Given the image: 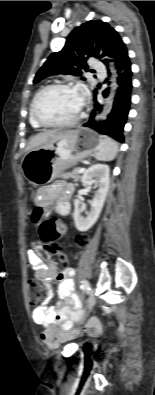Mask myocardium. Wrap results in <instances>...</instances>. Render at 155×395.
Wrapping results in <instances>:
<instances>
[{
	"instance_id": "f54148a6",
	"label": "myocardium",
	"mask_w": 155,
	"mask_h": 395,
	"mask_svg": "<svg viewBox=\"0 0 155 395\" xmlns=\"http://www.w3.org/2000/svg\"><path fill=\"white\" fill-rule=\"evenodd\" d=\"M53 88H73L77 89V86L72 83V82H66V81H58L54 83L47 84L40 88L36 94L34 95L31 105H30V112L32 115L33 120L40 126V127H46V128H66V127H71L75 125L81 118L82 115V106L80 107V110L78 113L70 120L65 121V122H45L43 121L38 113H37V102L40 98V96L46 92L47 90L53 89Z\"/></svg>"
}]
</instances>
